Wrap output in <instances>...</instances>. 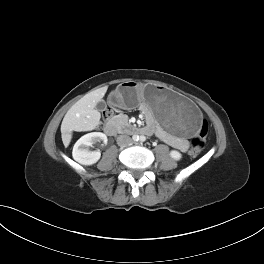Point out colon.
Here are the masks:
<instances>
[{
  "mask_svg": "<svg viewBox=\"0 0 264 264\" xmlns=\"http://www.w3.org/2000/svg\"><path fill=\"white\" fill-rule=\"evenodd\" d=\"M111 116V110L107 109L104 112V119H107ZM208 133V123L206 121H203L199 132L197 133V135H195L191 141V150H190V154L193 156L198 155L202 149L205 146L206 143V136Z\"/></svg>",
  "mask_w": 264,
  "mask_h": 264,
  "instance_id": "colon-1",
  "label": "colon"
}]
</instances>
